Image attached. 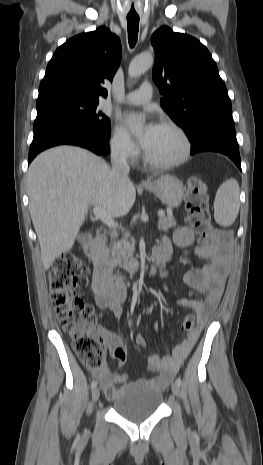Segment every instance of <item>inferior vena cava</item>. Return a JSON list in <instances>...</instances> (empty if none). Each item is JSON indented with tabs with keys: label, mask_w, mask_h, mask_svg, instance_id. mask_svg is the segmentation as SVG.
<instances>
[{
	"label": "inferior vena cava",
	"mask_w": 263,
	"mask_h": 465,
	"mask_svg": "<svg viewBox=\"0 0 263 465\" xmlns=\"http://www.w3.org/2000/svg\"><path fill=\"white\" fill-rule=\"evenodd\" d=\"M111 164L112 170L111 175L118 182H127L129 181V165L127 163V152L124 147H116L111 151Z\"/></svg>",
	"instance_id": "obj_1"
}]
</instances>
